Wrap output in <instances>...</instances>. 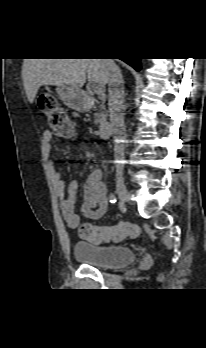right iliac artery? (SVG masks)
<instances>
[{
  "mask_svg": "<svg viewBox=\"0 0 206 348\" xmlns=\"http://www.w3.org/2000/svg\"><path fill=\"white\" fill-rule=\"evenodd\" d=\"M109 199L111 203H115L117 201V198L114 194H110Z\"/></svg>",
  "mask_w": 206,
  "mask_h": 348,
  "instance_id": "right-iliac-artery-1",
  "label": "right iliac artery"
}]
</instances>
